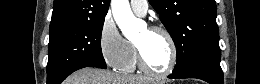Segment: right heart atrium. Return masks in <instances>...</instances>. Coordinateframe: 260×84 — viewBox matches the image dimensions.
<instances>
[{
	"instance_id": "obj_1",
	"label": "right heart atrium",
	"mask_w": 260,
	"mask_h": 84,
	"mask_svg": "<svg viewBox=\"0 0 260 84\" xmlns=\"http://www.w3.org/2000/svg\"><path fill=\"white\" fill-rule=\"evenodd\" d=\"M98 46L101 57L112 68H119L127 56V41L109 15L102 21L98 34Z\"/></svg>"
}]
</instances>
